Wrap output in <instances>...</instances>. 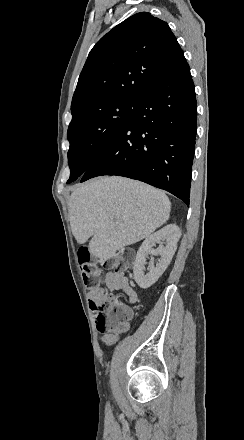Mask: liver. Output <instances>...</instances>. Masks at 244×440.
I'll list each match as a JSON object with an SVG mask.
<instances>
[{"label": "liver", "mask_w": 244, "mask_h": 440, "mask_svg": "<svg viewBox=\"0 0 244 440\" xmlns=\"http://www.w3.org/2000/svg\"><path fill=\"white\" fill-rule=\"evenodd\" d=\"M69 208L75 240L85 244L93 236L90 254L107 262L116 250L140 242L165 224L171 202L164 192L138 180L100 176L72 192Z\"/></svg>", "instance_id": "1"}]
</instances>
